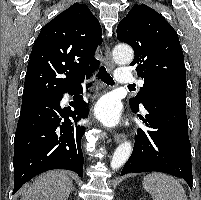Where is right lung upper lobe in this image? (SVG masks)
Masks as SVG:
<instances>
[{
	"mask_svg": "<svg viewBox=\"0 0 201 200\" xmlns=\"http://www.w3.org/2000/svg\"><path fill=\"white\" fill-rule=\"evenodd\" d=\"M101 26L86 4L74 3L47 23L30 55L23 98L31 100L66 92L98 67Z\"/></svg>",
	"mask_w": 201,
	"mask_h": 200,
	"instance_id": "cb5924a9",
	"label": "right lung upper lobe"
}]
</instances>
